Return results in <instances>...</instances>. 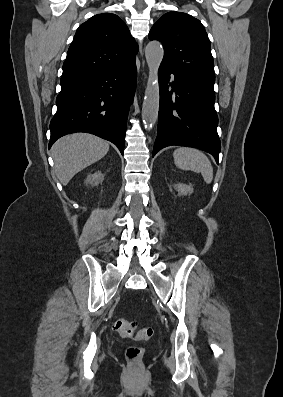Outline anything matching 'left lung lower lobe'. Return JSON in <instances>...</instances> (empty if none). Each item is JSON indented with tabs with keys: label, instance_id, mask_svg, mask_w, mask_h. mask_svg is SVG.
<instances>
[{
	"label": "left lung lower lobe",
	"instance_id": "0a47b994",
	"mask_svg": "<svg viewBox=\"0 0 283 397\" xmlns=\"http://www.w3.org/2000/svg\"><path fill=\"white\" fill-rule=\"evenodd\" d=\"M158 74L160 107L153 156L164 147L178 145L204 150L218 163L221 143L217 134L214 91L164 64L160 65ZM171 74L173 81L169 82Z\"/></svg>",
	"mask_w": 283,
	"mask_h": 397
}]
</instances>
